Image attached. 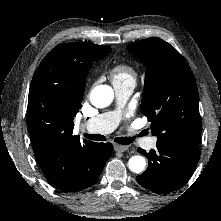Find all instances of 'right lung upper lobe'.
Instances as JSON below:
<instances>
[{
	"label": "right lung upper lobe",
	"mask_w": 221,
	"mask_h": 221,
	"mask_svg": "<svg viewBox=\"0 0 221 221\" xmlns=\"http://www.w3.org/2000/svg\"><path fill=\"white\" fill-rule=\"evenodd\" d=\"M109 46L63 43L53 48L31 81L27 127L39 166L60 190L73 185L81 160L96 143L73 135L93 55ZM101 59V58H100ZM97 60V59H96Z\"/></svg>",
	"instance_id": "right-lung-upper-lobe-1"
}]
</instances>
